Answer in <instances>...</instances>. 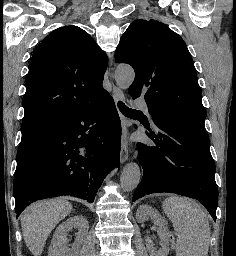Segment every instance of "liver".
<instances>
[{
    "label": "liver",
    "mask_w": 236,
    "mask_h": 256,
    "mask_svg": "<svg viewBox=\"0 0 236 256\" xmlns=\"http://www.w3.org/2000/svg\"><path fill=\"white\" fill-rule=\"evenodd\" d=\"M70 212L72 204L65 198L36 202L25 210L21 218V228L24 242L33 256H41L48 236Z\"/></svg>",
    "instance_id": "obj_1"
}]
</instances>
